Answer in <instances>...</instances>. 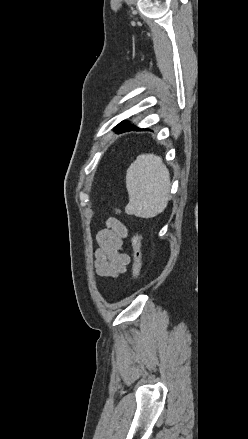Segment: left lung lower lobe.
Here are the masks:
<instances>
[{
  "instance_id": "obj_1",
  "label": "left lung lower lobe",
  "mask_w": 248,
  "mask_h": 439,
  "mask_svg": "<svg viewBox=\"0 0 248 439\" xmlns=\"http://www.w3.org/2000/svg\"><path fill=\"white\" fill-rule=\"evenodd\" d=\"M139 128L135 127V126H131L129 123H127L126 121L121 122L119 125H117L115 127L116 133H120V132H124V131H128V130H135Z\"/></svg>"
}]
</instances>
